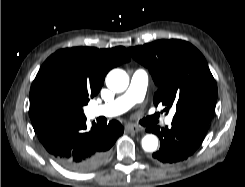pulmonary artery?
I'll return each mask as SVG.
<instances>
[{
	"label": "pulmonary artery",
	"instance_id": "obj_1",
	"mask_svg": "<svg viewBox=\"0 0 245 187\" xmlns=\"http://www.w3.org/2000/svg\"><path fill=\"white\" fill-rule=\"evenodd\" d=\"M148 86V74L143 69L136 70L130 80L128 89L124 94L110 103L94 106L89 109L91 117H114L129 110L134 104L143 100ZM173 113L166 118L171 124Z\"/></svg>",
	"mask_w": 245,
	"mask_h": 187
}]
</instances>
